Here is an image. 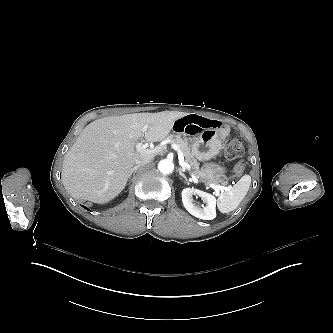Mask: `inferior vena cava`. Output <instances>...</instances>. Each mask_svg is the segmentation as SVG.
Listing matches in <instances>:
<instances>
[{
    "mask_svg": "<svg viewBox=\"0 0 333 333\" xmlns=\"http://www.w3.org/2000/svg\"><path fill=\"white\" fill-rule=\"evenodd\" d=\"M151 160H152V157H150V156L149 157H144L142 160H138L136 162V166H141V165H144V164H148Z\"/></svg>",
    "mask_w": 333,
    "mask_h": 333,
    "instance_id": "1",
    "label": "inferior vena cava"
}]
</instances>
